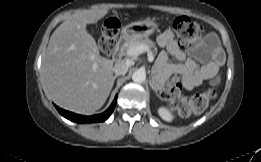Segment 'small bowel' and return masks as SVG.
Listing matches in <instances>:
<instances>
[{
    "label": "small bowel",
    "instance_id": "obj_1",
    "mask_svg": "<svg viewBox=\"0 0 261 162\" xmlns=\"http://www.w3.org/2000/svg\"><path fill=\"white\" fill-rule=\"evenodd\" d=\"M157 41L161 47L166 49L159 54L157 59V68L164 76L181 75L187 89L195 88L204 80H209L213 85L218 83V72L225 62V54L215 35H207L189 50L195 60L203 63L201 67L193 60H186V53L180 48L171 30L160 33ZM170 56L182 63L170 62Z\"/></svg>",
    "mask_w": 261,
    "mask_h": 162
}]
</instances>
